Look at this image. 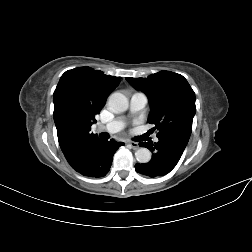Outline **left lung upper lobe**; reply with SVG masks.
<instances>
[{
    "mask_svg": "<svg viewBox=\"0 0 252 252\" xmlns=\"http://www.w3.org/2000/svg\"><path fill=\"white\" fill-rule=\"evenodd\" d=\"M126 80L147 95L151 107L148 122L155 125L154 130L157 128V137L189 141L196 112L195 93L182 75L161 71L147 78Z\"/></svg>",
    "mask_w": 252,
    "mask_h": 252,
    "instance_id": "1",
    "label": "left lung upper lobe"
}]
</instances>
